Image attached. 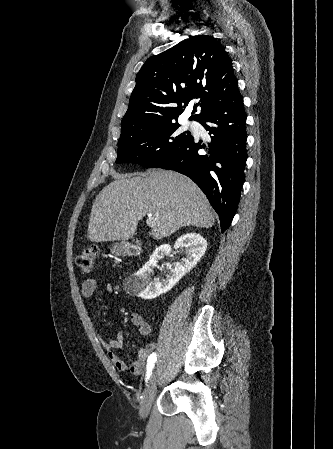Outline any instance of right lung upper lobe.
Segmentation results:
<instances>
[{"label": "right lung upper lobe", "mask_w": 333, "mask_h": 449, "mask_svg": "<svg viewBox=\"0 0 333 449\" xmlns=\"http://www.w3.org/2000/svg\"><path fill=\"white\" fill-rule=\"evenodd\" d=\"M240 94L232 62L224 47L209 35L184 40L149 58L136 77L119 141L177 120L188 103L199 102L198 121L210 108Z\"/></svg>", "instance_id": "cb5924a9"}]
</instances>
